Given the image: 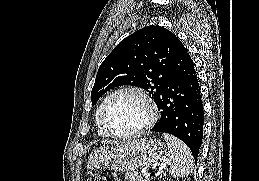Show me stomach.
I'll list each match as a JSON object with an SVG mask.
<instances>
[{"label":"stomach","mask_w":259,"mask_h":181,"mask_svg":"<svg viewBox=\"0 0 259 181\" xmlns=\"http://www.w3.org/2000/svg\"><path fill=\"white\" fill-rule=\"evenodd\" d=\"M167 155V147L161 140L135 139L99 147L89 156L88 166L131 172L158 166L166 161Z\"/></svg>","instance_id":"obj_1"}]
</instances>
